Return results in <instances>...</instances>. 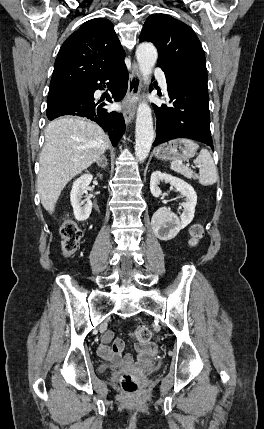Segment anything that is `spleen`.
I'll use <instances>...</instances> for the list:
<instances>
[{"label": "spleen", "mask_w": 264, "mask_h": 429, "mask_svg": "<svg viewBox=\"0 0 264 429\" xmlns=\"http://www.w3.org/2000/svg\"><path fill=\"white\" fill-rule=\"evenodd\" d=\"M195 164L199 166V183L203 186L213 185L218 179V172L214 164L213 158L209 151L205 148L201 149L200 154L194 160ZM171 169L185 176L192 178L193 172L186 166L178 163H171Z\"/></svg>", "instance_id": "1"}]
</instances>
